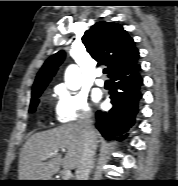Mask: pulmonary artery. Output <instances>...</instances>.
<instances>
[{"label": "pulmonary artery", "mask_w": 178, "mask_h": 186, "mask_svg": "<svg viewBox=\"0 0 178 186\" xmlns=\"http://www.w3.org/2000/svg\"><path fill=\"white\" fill-rule=\"evenodd\" d=\"M95 82H96V84H97L98 86H103V85H104V80H103L102 77H101V72H100V71H98V72L96 73V80H95Z\"/></svg>", "instance_id": "pulmonary-artery-1"}]
</instances>
